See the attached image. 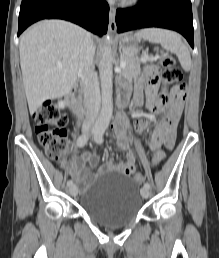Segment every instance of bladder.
Returning <instances> with one entry per match:
<instances>
[{
	"label": "bladder",
	"mask_w": 219,
	"mask_h": 258,
	"mask_svg": "<svg viewBox=\"0 0 219 258\" xmlns=\"http://www.w3.org/2000/svg\"><path fill=\"white\" fill-rule=\"evenodd\" d=\"M80 207L100 224L120 227L138 216L143 202L134 181L112 170L93 179L80 196Z\"/></svg>",
	"instance_id": "31cf9c89"
}]
</instances>
